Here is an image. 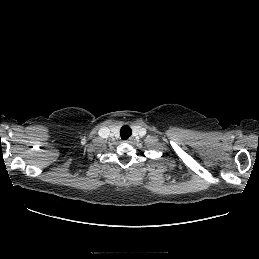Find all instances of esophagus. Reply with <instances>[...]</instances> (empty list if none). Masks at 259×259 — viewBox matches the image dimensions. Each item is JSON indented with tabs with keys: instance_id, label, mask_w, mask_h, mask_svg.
Returning <instances> with one entry per match:
<instances>
[{
	"instance_id": "obj_1",
	"label": "esophagus",
	"mask_w": 259,
	"mask_h": 259,
	"mask_svg": "<svg viewBox=\"0 0 259 259\" xmlns=\"http://www.w3.org/2000/svg\"><path fill=\"white\" fill-rule=\"evenodd\" d=\"M130 141H131V139L126 140V142H130Z\"/></svg>"
}]
</instances>
